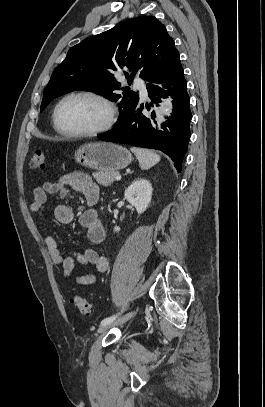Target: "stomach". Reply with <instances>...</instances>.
Masks as SVG:
<instances>
[{"instance_id":"stomach-1","label":"stomach","mask_w":265,"mask_h":407,"mask_svg":"<svg viewBox=\"0 0 265 407\" xmlns=\"http://www.w3.org/2000/svg\"><path fill=\"white\" fill-rule=\"evenodd\" d=\"M74 156L80 165L98 171H118L132 161V155L126 148L109 142L84 144Z\"/></svg>"}]
</instances>
